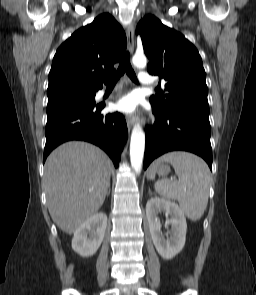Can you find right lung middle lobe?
I'll return each instance as SVG.
<instances>
[{
  "label": "right lung middle lobe",
  "instance_id": "1",
  "mask_svg": "<svg viewBox=\"0 0 256 295\" xmlns=\"http://www.w3.org/2000/svg\"><path fill=\"white\" fill-rule=\"evenodd\" d=\"M64 97H73V98L79 99L80 101H91L93 100V92H70L58 98H64Z\"/></svg>",
  "mask_w": 256,
  "mask_h": 295
}]
</instances>
